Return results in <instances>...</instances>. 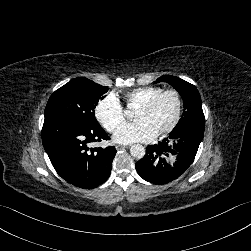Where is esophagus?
<instances>
[{
	"label": "esophagus",
	"mask_w": 251,
	"mask_h": 251,
	"mask_svg": "<svg viewBox=\"0 0 251 251\" xmlns=\"http://www.w3.org/2000/svg\"><path fill=\"white\" fill-rule=\"evenodd\" d=\"M123 148H124V145H121V144L116 145V150H117V151H120V150H122Z\"/></svg>",
	"instance_id": "esophagus-1"
}]
</instances>
